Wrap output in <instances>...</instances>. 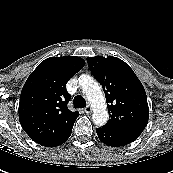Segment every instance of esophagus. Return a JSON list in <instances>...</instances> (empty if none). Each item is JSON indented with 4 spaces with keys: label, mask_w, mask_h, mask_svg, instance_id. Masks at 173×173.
<instances>
[{
    "label": "esophagus",
    "mask_w": 173,
    "mask_h": 173,
    "mask_svg": "<svg viewBox=\"0 0 173 173\" xmlns=\"http://www.w3.org/2000/svg\"><path fill=\"white\" fill-rule=\"evenodd\" d=\"M85 113L90 114L92 112V108L90 105H88L85 109H84Z\"/></svg>",
    "instance_id": "obj_1"
}]
</instances>
